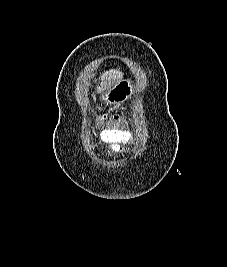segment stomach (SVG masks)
Listing matches in <instances>:
<instances>
[{
    "instance_id": "1",
    "label": "stomach",
    "mask_w": 227,
    "mask_h": 267,
    "mask_svg": "<svg viewBox=\"0 0 227 267\" xmlns=\"http://www.w3.org/2000/svg\"><path fill=\"white\" fill-rule=\"evenodd\" d=\"M124 82L120 83V87H113V91H98L97 101H113V104H120V101H132V92L134 87H139V83L145 82H134V87H131L129 77L123 78Z\"/></svg>"
}]
</instances>
